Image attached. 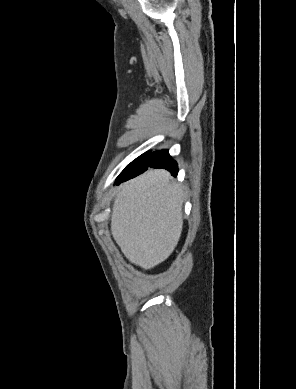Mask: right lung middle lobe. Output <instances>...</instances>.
Instances as JSON below:
<instances>
[{
    "label": "right lung middle lobe",
    "instance_id": "dd1d6c3e",
    "mask_svg": "<svg viewBox=\"0 0 296 389\" xmlns=\"http://www.w3.org/2000/svg\"><path fill=\"white\" fill-rule=\"evenodd\" d=\"M151 154V152H147L146 154H142L133 162H131L126 168H143L147 165V157Z\"/></svg>",
    "mask_w": 296,
    "mask_h": 389
}]
</instances>
